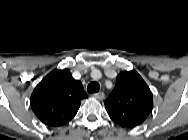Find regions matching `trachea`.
I'll return each mask as SVG.
<instances>
[{
    "label": "trachea",
    "instance_id": "3493384b",
    "mask_svg": "<svg viewBox=\"0 0 188 140\" xmlns=\"http://www.w3.org/2000/svg\"><path fill=\"white\" fill-rule=\"evenodd\" d=\"M99 88H100V86L97 82H91L87 86V91H88V93H96L99 91Z\"/></svg>",
    "mask_w": 188,
    "mask_h": 140
}]
</instances>
